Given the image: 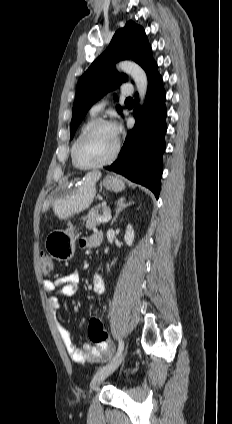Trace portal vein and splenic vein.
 <instances>
[{
	"instance_id": "18ae733b",
	"label": "portal vein and splenic vein",
	"mask_w": 232,
	"mask_h": 424,
	"mask_svg": "<svg viewBox=\"0 0 232 424\" xmlns=\"http://www.w3.org/2000/svg\"><path fill=\"white\" fill-rule=\"evenodd\" d=\"M112 218V215L110 213H105L103 216H100L97 218L99 222H108Z\"/></svg>"
}]
</instances>
